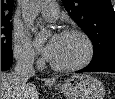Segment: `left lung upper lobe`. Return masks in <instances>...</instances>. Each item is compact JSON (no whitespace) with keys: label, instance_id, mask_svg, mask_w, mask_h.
<instances>
[{"label":"left lung upper lobe","instance_id":"5c2ea615","mask_svg":"<svg viewBox=\"0 0 115 99\" xmlns=\"http://www.w3.org/2000/svg\"><path fill=\"white\" fill-rule=\"evenodd\" d=\"M66 11L87 34L94 53L90 64L115 60V12L110 0H62Z\"/></svg>","mask_w":115,"mask_h":99}]
</instances>
